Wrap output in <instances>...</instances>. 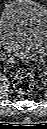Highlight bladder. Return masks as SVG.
<instances>
[{
  "label": "bladder",
  "instance_id": "31cf9c89",
  "mask_svg": "<svg viewBox=\"0 0 47 129\" xmlns=\"http://www.w3.org/2000/svg\"><path fill=\"white\" fill-rule=\"evenodd\" d=\"M47 11L35 0H11L0 17V40L9 54L33 58L45 50Z\"/></svg>",
  "mask_w": 47,
  "mask_h": 129
}]
</instances>
